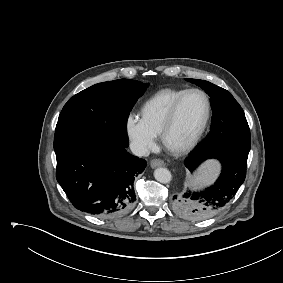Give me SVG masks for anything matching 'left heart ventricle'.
Segmentation results:
<instances>
[{"mask_svg":"<svg viewBox=\"0 0 283 283\" xmlns=\"http://www.w3.org/2000/svg\"><path fill=\"white\" fill-rule=\"evenodd\" d=\"M206 113V102L198 93L189 94L182 102L167 144L176 148L188 143L199 130Z\"/></svg>","mask_w":283,"mask_h":283,"instance_id":"obj_1","label":"left heart ventricle"}]
</instances>
